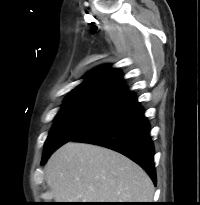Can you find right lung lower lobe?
I'll use <instances>...</instances> for the list:
<instances>
[{
    "instance_id": "right-lung-lower-lobe-1",
    "label": "right lung lower lobe",
    "mask_w": 200,
    "mask_h": 205,
    "mask_svg": "<svg viewBox=\"0 0 200 205\" xmlns=\"http://www.w3.org/2000/svg\"><path fill=\"white\" fill-rule=\"evenodd\" d=\"M71 140L104 146L122 153L145 169L156 184L150 126L133 92L115 101L104 114ZM53 152L42 160V164Z\"/></svg>"
}]
</instances>
